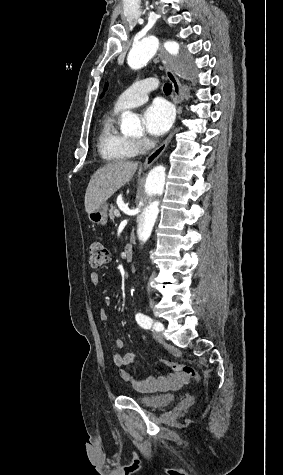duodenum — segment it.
<instances>
[{"mask_svg":"<svg viewBox=\"0 0 283 475\" xmlns=\"http://www.w3.org/2000/svg\"><path fill=\"white\" fill-rule=\"evenodd\" d=\"M134 248L132 244H127L124 248V258L126 261H130L133 257Z\"/></svg>","mask_w":283,"mask_h":475,"instance_id":"410a0bca","label":"duodenum"}]
</instances>
